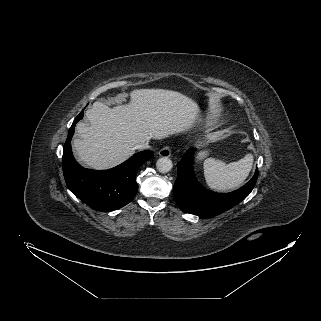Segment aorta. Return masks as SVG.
<instances>
[{
	"instance_id": "obj_1",
	"label": "aorta",
	"mask_w": 321,
	"mask_h": 321,
	"mask_svg": "<svg viewBox=\"0 0 321 321\" xmlns=\"http://www.w3.org/2000/svg\"><path fill=\"white\" fill-rule=\"evenodd\" d=\"M156 167L159 172L167 173L172 169L173 163L168 157H162L157 160Z\"/></svg>"
}]
</instances>
